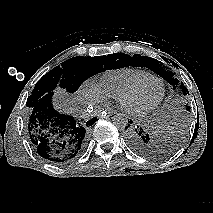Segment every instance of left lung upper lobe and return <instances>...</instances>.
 Returning a JSON list of instances; mask_svg holds the SVG:
<instances>
[{"label": "left lung upper lobe", "instance_id": "1", "mask_svg": "<svg viewBox=\"0 0 213 213\" xmlns=\"http://www.w3.org/2000/svg\"><path fill=\"white\" fill-rule=\"evenodd\" d=\"M127 59L128 63L126 66L147 67L159 76L163 77L170 85H172L173 89H176L179 85V80L174 77V73L170 72L168 68H165L160 61L147 56H141L139 54L134 56L127 55ZM180 88L184 95L189 94L188 89L183 85V83H181ZM186 109L189 111L190 107L186 105Z\"/></svg>", "mask_w": 213, "mask_h": 213}]
</instances>
